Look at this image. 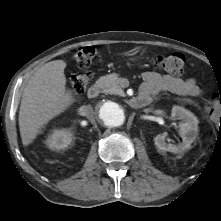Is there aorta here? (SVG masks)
Returning <instances> with one entry per match:
<instances>
[{"label":"aorta","instance_id":"obj_1","mask_svg":"<svg viewBox=\"0 0 221 221\" xmlns=\"http://www.w3.org/2000/svg\"><path fill=\"white\" fill-rule=\"evenodd\" d=\"M97 118L106 126L119 127L126 119V112L121 104L114 101H105L98 108Z\"/></svg>","mask_w":221,"mask_h":221}]
</instances>
